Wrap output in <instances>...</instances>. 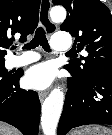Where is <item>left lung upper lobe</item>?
Listing matches in <instances>:
<instances>
[{
    "label": "left lung upper lobe",
    "instance_id": "left-lung-upper-lobe-1",
    "mask_svg": "<svg viewBox=\"0 0 112 135\" xmlns=\"http://www.w3.org/2000/svg\"><path fill=\"white\" fill-rule=\"evenodd\" d=\"M62 5L67 17L61 30L74 36L78 50L87 57L69 61L65 68L81 79L101 72H112V15L100 0H53Z\"/></svg>",
    "mask_w": 112,
    "mask_h": 135
}]
</instances>
